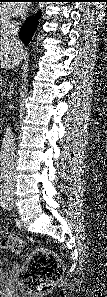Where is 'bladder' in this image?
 <instances>
[{"label": "bladder", "mask_w": 107, "mask_h": 297, "mask_svg": "<svg viewBox=\"0 0 107 297\" xmlns=\"http://www.w3.org/2000/svg\"><path fill=\"white\" fill-rule=\"evenodd\" d=\"M3 279H4V273L0 269V281H2Z\"/></svg>", "instance_id": "1"}]
</instances>
